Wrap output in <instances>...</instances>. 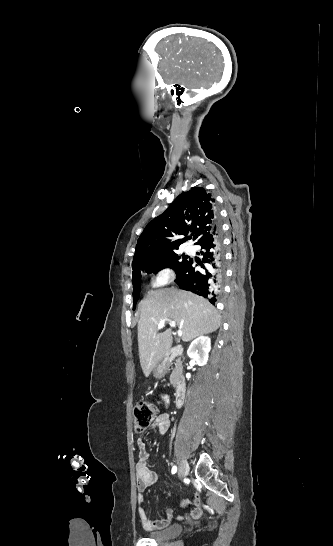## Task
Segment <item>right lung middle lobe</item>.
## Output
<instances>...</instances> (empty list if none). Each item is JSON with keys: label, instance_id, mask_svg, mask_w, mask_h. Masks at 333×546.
Here are the masks:
<instances>
[{"label": "right lung middle lobe", "instance_id": "right-lung-middle-lobe-1", "mask_svg": "<svg viewBox=\"0 0 333 546\" xmlns=\"http://www.w3.org/2000/svg\"><path fill=\"white\" fill-rule=\"evenodd\" d=\"M187 256H179L177 255L174 251H170L168 253H166L163 258L161 259L160 263L158 266L150 269V270H146L144 272L146 273H157L158 271H160L161 269L163 268H166V267H170L172 268L176 273L179 271V269L187 262ZM140 277H141V272L135 274L133 276V286H134V290H133V302H134V308L133 310L135 309V305L137 303V300L140 296V290H139V281H140Z\"/></svg>", "mask_w": 333, "mask_h": 546}]
</instances>
